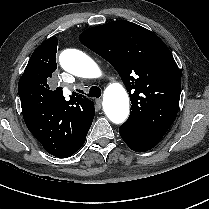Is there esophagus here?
<instances>
[{"label":"esophagus","mask_w":209,"mask_h":209,"mask_svg":"<svg viewBox=\"0 0 209 209\" xmlns=\"http://www.w3.org/2000/svg\"><path fill=\"white\" fill-rule=\"evenodd\" d=\"M96 105L101 108L102 105V99H96Z\"/></svg>","instance_id":"34e87169"}]
</instances>
